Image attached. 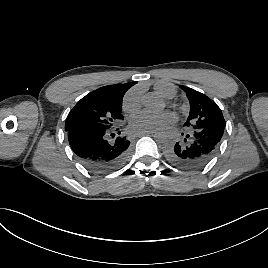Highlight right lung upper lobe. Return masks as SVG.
Returning a JSON list of instances; mask_svg holds the SVG:
<instances>
[{
  "instance_id": "cb5924a9",
  "label": "right lung upper lobe",
  "mask_w": 268,
  "mask_h": 268,
  "mask_svg": "<svg viewBox=\"0 0 268 268\" xmlns=\"http://www.w3.org/2000/svg\"><path fill=\"white\" fill-rule=\"evenodd\" d=\"M136 83V81H133L126 84L108 85L93 91V93L102 95L106 98L122 100L126 91Z\"/></svg>"
}]
</instances>
